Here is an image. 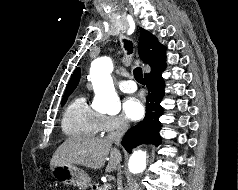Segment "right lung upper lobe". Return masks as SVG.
I'll return each instance as SVG.
<instances>
[{
    "label": "right lung upper lobe",
    "instance_id": "cb5924a9",
    "mask_svg": "<svg viewBox=\"0 0 238 190\" xmlns=\"http://www.w3.org/2000/svg\"><path fill=\"white\" fill-rule=\"evenodd\" d=\"M141 36L138 44V52L140 58L151 67V72L149 74H145V76H148L150 74H153L160 69H162L165 61V50L166 48L158 43L157 39L152 36L151 33L146 31L143 28H140ZM80 76V69L77 68L69 83L67 84L66 93H72L73 90L78 85Z\"/></svg>",
    "mask_w": 238,
    "mask_h": 190
}]
</instances>
